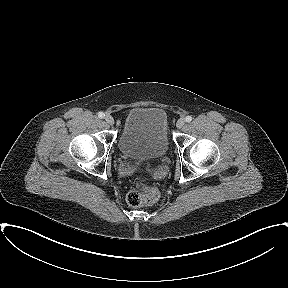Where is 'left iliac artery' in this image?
I'll use <instances>...</instances> for the list:
<instances>
[{"label": "left iliac artery", "instance_id": "44dca946", "mask_svg": "<svg viewBox=\"0 0 288 288\" xmlns=\"http://www.w3.org/2000/svg\"><path fill=\"white\" fill-rule=\"evenodd\" d=\"M185 121L188 122V123L191 122V121H192V117H191V116H187V117L185 118Z\"/></svg>", "mask_w": 288, "mask_h": 288}]
</instances>
